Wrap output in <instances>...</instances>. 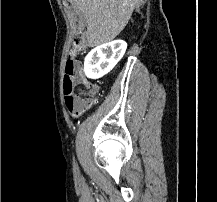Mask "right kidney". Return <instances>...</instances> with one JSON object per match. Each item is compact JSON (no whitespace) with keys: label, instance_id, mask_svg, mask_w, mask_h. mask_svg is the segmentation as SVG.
<instances>
[{"label":"right kidney","instance_id":"ca27d5eb","mask_svg":"<svg viewBox=\"0 0 217 202\" xmlns=\"http://www.w3.org/2000/svg\"><path fill=\"white\" fill-rule=\"evenodd\" d=\"M127 44L124 40H114L108 44H101L87 54L84 70L88 78H102L113 70L126 52Z\"/></svg>","mask_w":217,"mask_h":202}]
</instances>
